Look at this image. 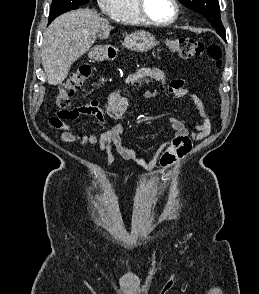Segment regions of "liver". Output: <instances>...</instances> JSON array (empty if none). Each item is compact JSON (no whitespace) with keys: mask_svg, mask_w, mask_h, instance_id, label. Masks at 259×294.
<instances>
[{"mask_svg":"<svg viewBox=\"0 0 259 294\" xmlns=\"http://www.w3.org/2000/svg\"><path fill=\"white\" fill-rule=\"evenodd\" d=\"M112 29L106 19L90 9H78L56 18L43 34L41 49L48 83H62L71 65L90 49L97 36L105 39Z\"/></svg>","mask_w":259,"mask_h":294,"instance_id":"1","label":"liver"}]
</instances>
